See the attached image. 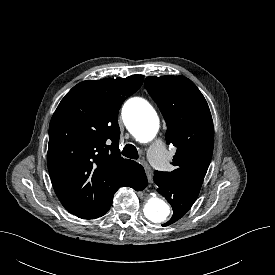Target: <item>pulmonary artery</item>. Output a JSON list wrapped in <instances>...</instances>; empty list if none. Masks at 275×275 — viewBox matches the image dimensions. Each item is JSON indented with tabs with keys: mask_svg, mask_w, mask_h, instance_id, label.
Wrapping results in <instances>:
<instances>
[{
	"mask_svg": "<svg viewBox=\"0 0 275 275\" xmlns=\"http://www.w3.org/2000/svg\"><path fill=\"white\" fill-rule=\"evenodd\" d=\"M149 159L152 164L161 168L165 163V149L161 141H155L149 148Z\"/></svg>",
	"mask_w": 275,
	"mask_h": 275,
	"instance_id": "e3ab8cb5",
	"label": "pulmonary artery"
}]
</instances>
